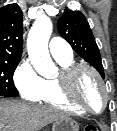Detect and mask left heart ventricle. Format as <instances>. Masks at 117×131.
<instances>
[{
	"label": "left heart ventricle",
	"instance_id": "left-heart-ventricle-1",
	"mask_svg": "<svg viewBox=\"0 0 117 131\" xmlns=\"http://www.w3.org/2000/svg\"><path fill=\"white\" fill-rule=\"evenodd\" d=\"M78 97L92 109L98 111L103 104L102 91L96 79L87 71L82 72L76 81Z\"/></svg>",
	"mask_w": 117,
	"mask_h": 131
}]
</instances>
